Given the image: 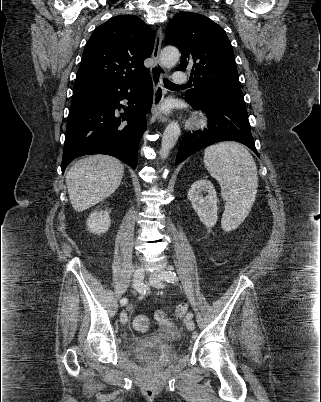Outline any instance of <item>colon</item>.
I'll return each instance as SVG.
<instances>
[{
  "label": "colon",
  "mask_w": 321,
  "mask_h": 402,
  "mask_svg": "<svg viewBox=\"0 0 321 402\" xmlns=\"http://www.w3.org/2000/svg\"><path fill=\"white\" fill-rule=\"evenodd\" d=\"M187 312V304L181 303L175 309L177 318H183ZM134 328L139 332H146L150 328V321L146 316L138 315L133 320Z\"/></svg>",
  "instance_id": "5ec220e1"
}]
</instances>
